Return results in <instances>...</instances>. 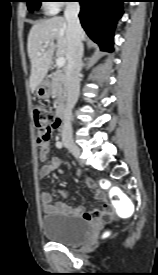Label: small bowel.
<instances>
[{
	"mask_svg": "<svg viewBox=\"0 0 158 275\" xmlns=\"http://www.w3.org/2000/svg\"><path fill=\"white\" fill-rule=\"evenodd\" d=\"M60 125L56 128L59 129ZM37 146L39 149V157L40 160L44 162V164L39 169V176L41 178L47 177L52 171L57 169L60 165V159L58 157L49 158L50 154V145L49 142H41L37 141ZM89 187L95 192V195L98 199H100L104 203V207H108V201L105 194L98 189L95 183L90 182ZM63 197L67 196V192L62 190L60 191ZM41 205L43 211L47 213L51 212H61V213H72L78 216H81L88 220H94L98 217H101V213L104 210L101 209H94L91 212L85 211L82 207H72L65 204L62 201H58L53 203L52 196L47 192L41 193Z\"/></svg>",
	"mask_w": 158,
	"mask_h": 275,
	"instance_id": "small-bowel-1",
	"label": "small bowel"
}]
</instances>
